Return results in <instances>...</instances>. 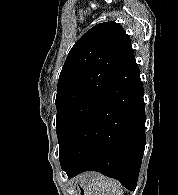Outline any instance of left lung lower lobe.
I'll return each instance as SVG.
<instances>
[{
	"label": "left lung lower lobe",
	"mask_w": 178,
	"mask_h": 195,
	"mask_svg": "<svg viewBox=\"0 0 178 195\" xmlns=\"http://www.w3.org/2000/svg\"><path fill=\"white\" fill-rule=\"evenodd\" d=\"M145 142L139 72L71 140L59 156L61 168L69 178L88 170L98 171L134 190Z\"/></svg>",
	"instance_id": "0a47b994"
}]
</instances>
